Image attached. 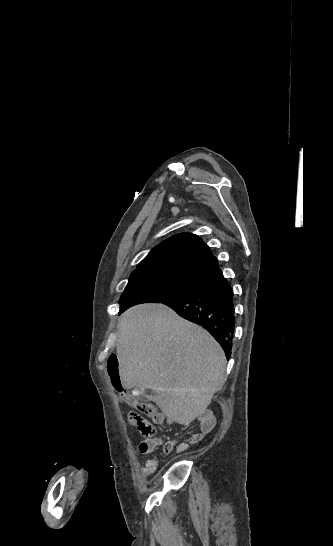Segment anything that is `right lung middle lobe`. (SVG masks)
<instances>
[{
    "label": "right lung middle lobe",
    "instance_id": "1",
    "mask_svg": "<svg viewBox=\"0 0 333 546\" xmlns=\"http://www.w3.org/2000/svg\"><path fill=\"white\" fill-rule=\"evenodd\" d=\"M201 280L168 273L131 275L121 295L120 313L129 307L146 302H163L195 289Z\"/></svg>",
    "mask_w": 333,
    "mask_h": 546
}]
</instances>
